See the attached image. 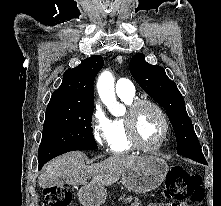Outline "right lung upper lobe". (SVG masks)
<instances>
[{
    "mask_svg": "<svg viewBox=\"0 0 221 206\" xmlns=\"http://www.w3.org/2000/svg\"><path fill=\"white\" fill-rule=\"evenodd\" d=\"M102 66L103 58L95 55L67 70L61 86L52 94L47 110L94 107L93 84Z\"/></svg>",
    "mask_w": 221,
    "mask_h": 206,
    "instance_id": "obj_1",
    "label": "right lung upper lobe"
}]
</instances>
